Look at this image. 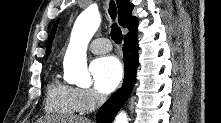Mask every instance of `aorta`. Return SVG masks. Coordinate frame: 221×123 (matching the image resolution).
Listing matches in <instances>:
<instances>
[{
  "label": "aorta",
  "instance_id": "1",
  "mask_svg": "<svg viewBox=\"0 0 221 123\" xmlns=\"http://www.w3.org/2000/svg\"><path fill=\"white\" fill-rule=\"evenodd\" d=\"M100 23L99 12L92 8L83 11L74 23L63 67L67 80L77 86L89 87L91 85V76L87 69L86 48ZM114 122L128 123L127 114L120 112Z\"/></svg>",
  "mask_w": 221,
  "mask_h": 123
}]
</instances>
